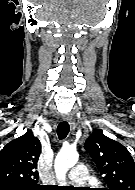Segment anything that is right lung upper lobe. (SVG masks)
Segmentation results:
<instances>
[{
    "mask_svg": "<svg viewBox=\"0 0 135 190\" xmlns=\"http://www.w3.org/2000/svg\"><path fill=\"white\" fill-rule=\"evenodd\" d=\"M41 144L32 132L6 144L0 151V187L40 189L37 161Z\"/></svg>",
    "mask_w": 135,
    "mask_h": 190,
    "instance_id": "right-lung-upper-lobe-1",
    "label": "right lung upper lobe"
}]
</instances>
